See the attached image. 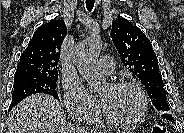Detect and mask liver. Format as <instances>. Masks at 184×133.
Segmentation results:
<instances>
[{
    "mask_svg": "<svg viewBox=\"0 0 184 133\" xmlns=\"http://www.w3.org/2000/svg\"><path fill=\"white\" fill-rule=\"evenodd\" d=\"M5 127L6 133H89L68 125L58 101L45 94H35L18 103L8 114Z\"/></svg>",
    "mask_w": 184,
    "mask_h": 133,
    "instance_id": "liver-1",
    "label": "liver"
}]
</instances>
